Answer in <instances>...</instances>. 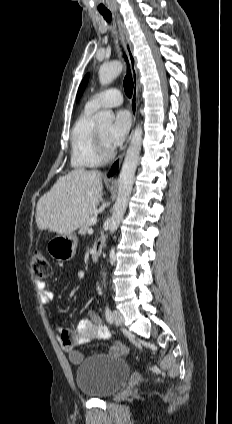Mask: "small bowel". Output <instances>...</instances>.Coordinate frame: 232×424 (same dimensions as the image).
I'll return each mask as SVG.
<instances>
[{"label":"small bowel","instance_id":"small-bowel-1","mask_svg":"<svg viewBox=\"0 0 232 424\" xmlns=\"http://www.w3.org/2000/svg\"><path fill=\"white\" fill-rule=\"evenodd\" d=\"M37 286L42 303L49 305L54 298L52 289L42 281H38ZM69 318H72V315H69ZM57 337L62 350L68 355L70 361L78 364L83 360V354L76 349L77 346L98 339H109L111 333L102 319L95 312L90 311L88 318L74 321L70 328L59 326ZM110 352L114 355L124 354L117 351L113 345L110 347Z\"/></svg>","mask_w":232,"mask_h":424}]
</instances>
